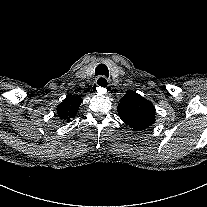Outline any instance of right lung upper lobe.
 Instances as JSON below:
<instances>
[{
  "instance_id": "right-lung-upper-lobe-1",
  "label": "right lung upper lobe",
  "mask_w": 207,
  "mask_h": 207,
  "mask_svg": "<svg viewBox=\"0 0 207 207\" xmlns=\"http://www.w3.org/2000/svg\"><path fill=\"white\" fill-rule=\"evenodd\" d=\"M82 102V98L79 96H69L63 100L57 106V115L69 122L70 119L74 118L79 110L80 104Z\"/></svg>"
}]
</instances>
